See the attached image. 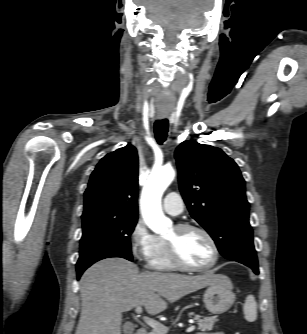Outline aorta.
<instances>
[{
	"label": "aorta",
	"mask_w": 307,
	"mask_h": 334,
	"mask_svg": "<svg viewBox=\"0 0 307 334\" xmlns=\"http://www.w3.org/2000/svg\"><path fill=\"white\" fill-rule=\"evenodd\" d=\"M174 177L175 171L172 167L154 169L141 194L142 217L146 225L156 234L164 235L172 227V221L162 211L161 198Z\"/></svg>",
	"instance_id": "1"
}]
</instances>
